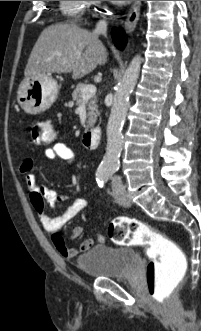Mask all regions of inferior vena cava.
Listing matches in <instances>:
<instances>
[{
  "instance_id": "inferior-vena-cava-1",
  "label": "inferior vena cava",
  "mask_w": 201,
  "mask_h": 331,
  "mask_svg": "<svg viewBox=\"0 0 201 331\" xmlns=\"http://www.w3.org/2000/svg\"><path fill=\"white\" fill-rule=\"evenodd\" d=\"M106 31H107V22L105 19H103L97 23L96 28L94 29L93 33L96 35L106 34Z\"/></svg>"
}]
</instances>
